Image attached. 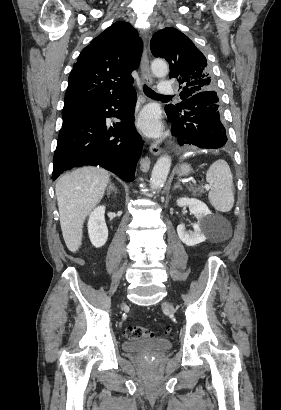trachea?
Instances as JSON below:
<instances>
[{
    "label": "trachea",
    "mask_w": 281,
    "mask_h": 410,
    "mask_svg": "<svg viewBox=\"0 0 281 410\" xmlns=\"http://www.w3.org/2000/svg\"><path fill=\"white\" fill-rule=\"evenodd\" d=\"M143 90L144 93L151 98H171V96L168 95H161L156 93L154 90H152L151 88H149L147 85L143 86Z\"/></svg>",
    "instance_id": "trachea-1"
}]
</instances>
